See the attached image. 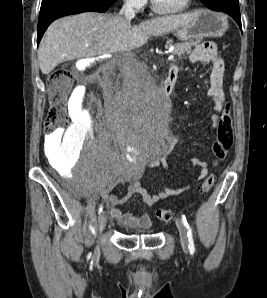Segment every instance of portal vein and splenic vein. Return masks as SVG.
Segmentation results:
<instances>
[{
	"instance_id": "obj_1",
	"label": "portal vein and splenic vein",
	"mask_w": 267,
	"mask_h": 298,
	"mask_svg": "<svg viewBox=\"0 0 267 298\" xmlns=\"http://www.w3.org/2000/svg\"><path fill=\"white\" fill-rule=\"evenodd\" d=\"M173 58H174V55L172 54L168 57L169 60H172Z\"/></svg>"
}]
</instances>
